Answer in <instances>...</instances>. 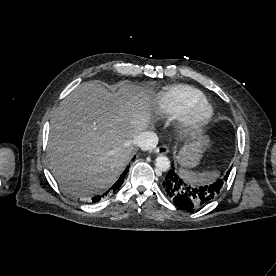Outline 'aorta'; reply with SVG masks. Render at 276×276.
<instances>
[{
	"label": "aorta",
	"mask_w": 276,
	"mask_h": 276,
	"mask_svg": "<svg viewBox=\"0 0 276 276\" xmlns=\"http://www.w3.org/2000/svg\"><path fill=\"white\" fill-rule=\"evenodd\" d=\"M155 165L160 171L165 172L170 169V160L166 156L160 155L156 158Z\"/></svg>",
	"instance_id": "obj_1"
}]
</instances>
